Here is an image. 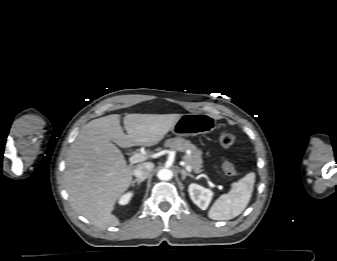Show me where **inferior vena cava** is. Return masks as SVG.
Wrapping results in <instances>:
<instances>
[{
  "label": "inferior vena cava",
  "instance_id": "obj_1",
  "mask_svg": "<svg viewBox=\"0 0 337 261\" xmlns=\"http://www.w3.org/2000/svg\"><path fill=\"white\" fill-rule=\"evenodd\" d=\"M154 168L153 163H143L139 164L136 166V168L133 171V174L138 178V179H146L151 171Z\"/></svg>",
  "mask_w": 337,
  "mask_h": 261
}]
</instances>
